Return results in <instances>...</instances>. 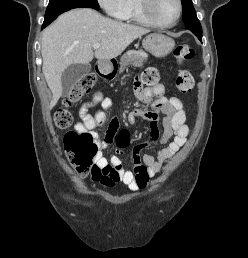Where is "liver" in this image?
<instances>
[{"instance_id":"liver-1","label":"liver","mask_w":248,"mask_h":258,"mask_svg":"<svg viewBox=\"0 0 248 258\" xmlns=\"http://www.w3.org/2000/svg\"><path fill=\"white\" fill-rule=\"evenodd\" d=\"M148 29L106 18L90 8H78L60 15L43 32L42 71L52 92L50 108L62 95V73L71 64H88L95 56L100 62L119 56ZM100 48L93 52V45Z\"/></svg>"}]
</instances>
